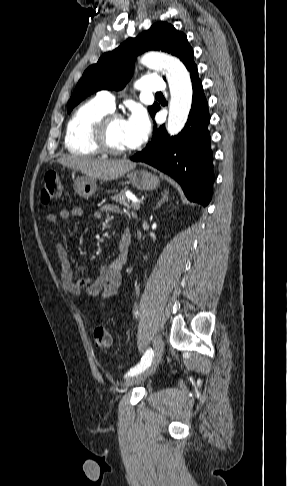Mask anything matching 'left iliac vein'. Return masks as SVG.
<instances>
[{
  "label": "left iliac vein",
  "mask_w": 287,
  "mask_h": 486,
  "mask_svg": "<svg viewBox=\"0 0 287 486\" xmlns=\"http://www.w3.org/2000/svg\"><path fill=\"white\" fill-rule=\"evenodd\" d=\"M153 346H154V354H153V358L151 360V364L146 369H144L142 372L129 377L125 381V384H124L126 389L133 386L134 384H138L141 381L145 380L158 367V365L161 361L162 355H163V341H162V339L159 338V337L155 338L154 341H153Z\"/></svg>",
  "instance_id": "left-iliac-vein-1"
}]
</instances>
